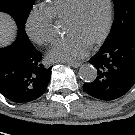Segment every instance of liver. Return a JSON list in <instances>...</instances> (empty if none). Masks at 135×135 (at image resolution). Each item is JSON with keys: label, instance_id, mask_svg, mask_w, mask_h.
I'll list each match as a JSON object with an SVG mask.
<instances>
[{"label": "liver", "instance_id": "6515ba94", "mask_svg": "<svg viewBox=\"0 0 135 135\" xmlns=\"http://www.w3.org/2000/svg\"><path fill=\"white\" fill-rule=\"evenodd\" d=\"M16 33V24L7 14L0 13V46L8 45Z\"/></svg>", "mask_w": 135, "mask_h": 135}]
</instances>
